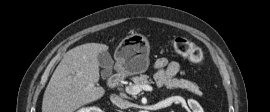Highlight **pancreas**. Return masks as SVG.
Listing matches in <instances>:
<instances>
[{"label":"pancreas","instance_id":"pancreas-1","mask_svg":"<svg viewBox=\"0 0 270 112\" xmlns=\"http://www.w3.org/2000/svg\"><path fill=\"white\" fill-rule=\"evenodd\" d=\"M133 81L136 85H139V86L149 85V84L154 83L147 75H140V76L134 77ZM161 85L162 84H160V86ZM166 85L170 88H182L190 92H193L197 95H202L201 91L199 90L198 85L189 80L172 78L166 82Z\"/></svg>","mask_w":270,"mask_h":112}]
</instances>
